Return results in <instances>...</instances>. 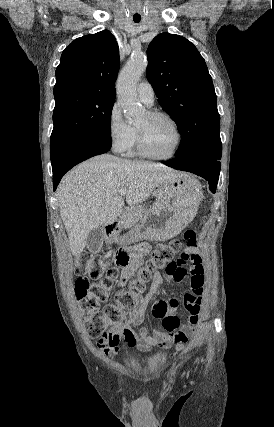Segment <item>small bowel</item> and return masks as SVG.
<instances>
[{"mask_svg":"<svg viewBox=\"0 0 274 427\" xmlns=\"http://www.w3.org/2000/svg\"><path fill=\"white\" fill-rule=\"evenodd\" d=\"M149 249L150 246L147 243L140 245L129 263L120 269L119 276L115 280L118 290L126 288L128 279L143 264L144 255L149 252ZM199 251V245H189L188 250L177 258L180 264H170L164 272L166 278H173L190 285V290L182 297L183 307L188 314L187 323L182 312L170 311L171 308L178 307L179 295L177 293H172L170 299H157L155 311L151 315L155 327L183 328L173 335L159 329L150 335L148 327L143 325L147 308L158 295L164 281V277L160 273H155L148 293L144 296L135 295L134 305L130 309L120 308L119 319L106 322L104 332L97 339L98 347L103 354L115 355L120 343H124L129 348L138 347L142 351H150L155 347L168 348L172 344L177 347L184 345L199 323L204 292L205 267L202 265ZM83 275L87 279L86 274Z\"/></svg>","mask_w":274,"mask_h":427,"instance_id":"small-bowel-1","label":"small bowel"}]
</instances>
